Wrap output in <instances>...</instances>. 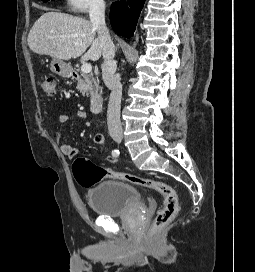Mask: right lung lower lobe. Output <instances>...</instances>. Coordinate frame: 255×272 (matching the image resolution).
<instances>
[{"label":"right lung lower lobe","instance_id":"98d812e1","mask_svg":"<svg viewBox=\"0 0 255 272\" xmlns=\"http://www.w3.org/2000/svg\"><path fill=\"white\" fill-rule=\"evenodd\" d=\"M145 0H122L111 5L112 28L124 37H132Z\"/></svg>","mask_w":255,"mask_h":272}]
</instances>
